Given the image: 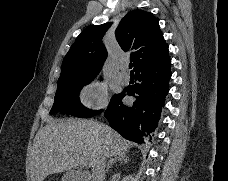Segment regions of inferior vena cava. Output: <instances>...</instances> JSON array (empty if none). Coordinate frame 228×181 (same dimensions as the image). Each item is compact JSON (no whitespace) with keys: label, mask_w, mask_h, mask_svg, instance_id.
Returning a JSON list of instances; mask_svg holds the SVG:
<instances>
[{"label":"inferior vena cava","mask_w":228,"mask_h":181,"mask_svg":"<svg viewBox=\"0 0 228 181\" xmlns=\"http://www.w3.org/2000/svg\"><path fill=\"white\" fill-rule=\"evenodd\" d=\"M95 131H93L94 135H98V129H100L99 125H95ZM106 153L101 151V157L99 155H94V159L92 161V179L93 181H105L106 173Z\"/></svg>","instance_id":"obj_1"}]
</instances>
